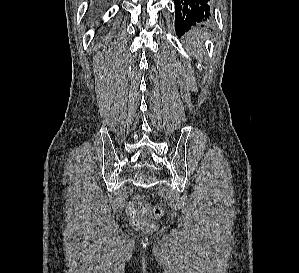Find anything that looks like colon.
<instances>
[{
  "mask_svg": "<svg viewBox=\"0 0 299 273\" xmlns=\"http://www.w3.org/2000/svg\"><path fill=\"white\" fill-rule=\"evenodd\" d=\"M128 214L132 222L140 227L148 228L151 224L143 219L144 216L160 218L163 210L159 206L144 204L138 198H133L128 208Z\"/></svg>",
  "mask_w": 299,
  "mask_h": 273,
  "instance_id": "obj_1",
  "label": "colon"
}]
</instances>
